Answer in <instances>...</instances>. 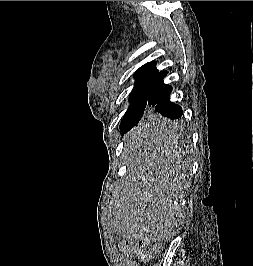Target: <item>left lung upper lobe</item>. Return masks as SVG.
<instances>
[{
	"mask_svg": "<svg viewBox=\"0 0 253 266\" xmlns=\"http://www.w3.org/2000/svg\"><path fill=\"white\" fill-rule=\"evenodd\" d=\"M155 65L156 62H149L135 72L134 77L136 78V82L129 96L131 104L122 119V126L132 127L137 125L141 120H145L148 116L146 104L150 87L157 74Z\"/></svg>",
	"mask_w": 253,
	"mask_h": 266,
	"instance_id": "5c2ea615",
	"label": "left lung upper lobe"
}]
</instances>
